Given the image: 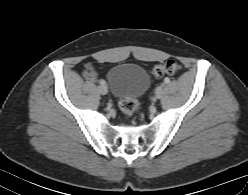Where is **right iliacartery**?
I'll use <instances>...</instances> for the list:
<instances>
[{
	"label": "right iliac artery",
	"instance_id": "obj_1",
	"mask_svg": "<svg viewBox=\"0 0 248 195\" xmlns=\"http://www.w3.org/2000/svg\"><path fill=\"white\" fill-rule=\"evenodd\" d=\"M100 84L104 85L105 84V81L104 80H101L100 81Z\"/></svg>",
	"mask_w": 248,
	"mask_h": 195
}]
</instances>
